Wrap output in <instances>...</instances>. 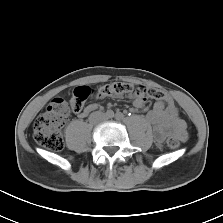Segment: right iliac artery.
Returning <instances> with one entry per match:
<instances>
[{
    "instance_id": "obj_1",
    "label": "right iliac artery",
    "mask_w": 223,
    "mask_h": 223,
    "mask_svg": "<svg viewBox=\"0 0 223 223\" xmlns=\"http://www.w3.org/2000/svg\"><path fill=\"white\" fill-rule=\"evenodd\" d=\"M107 117L112 118L114 116V112L112 110H108L106 112Z\"/></svg>"
}]
</instances>
